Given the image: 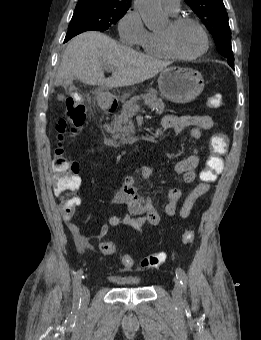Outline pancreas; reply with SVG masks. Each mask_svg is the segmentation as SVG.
I'll return each instance as SVG.
<instances>
[{"label":"pancreas","mask_w":261,"mask_h":340,"mask_svg":"<svg viewBox=\"0 0 261 340\" xmlns=\"http://www.w3.org/2000/svg\"><path fill=\"white\" fill-rule=\"evenodd\" d=\"M144 100V103L151 109H155L157 113L162 114L164 112L165 105L161 98H158L157 91L155 89H149L146 94L132 97L126 101L121 110V114L115 117V121L112 124L110 133L113 138L119 140L121 143H127L131 134L134 132V124L132 121V115L137 111L138 101Z\"/></svg>","instance_id":"pancreas-1"}]
</instances>
